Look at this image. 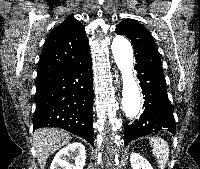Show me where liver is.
<instances>
[{
  "label": "liver",
  "instance_id": "obj_1",
  "mask_svg": "<svg viewBox=\"0 0 200 169\" xmlns=\"http://www.w3.org/2000/svg\"><path fill=\"white\" fill-rule=\"evenodd\" d=\"M72 137L70 133L59 128H41L33 135L37 162L44 169L48 157L62 146L68 144Z\"/></svg>",
  "mask_w": 200,
  "mask_h": 169
}]
</instances>
